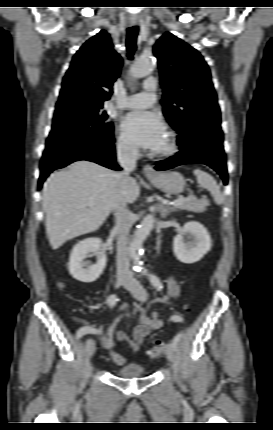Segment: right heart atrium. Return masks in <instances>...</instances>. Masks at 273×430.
<instances>
[{
	"label": "right heart atrium",
	"instance_id": "right-heart-atrium-1",
	"mask_svg": "<svg viewBox=\"0 0 273 430\" xmlns=\"http://www.w3.org/2000/svg\"><path fill=\"white\" fill-rule=\"evenodd\" d=\"M116 147L119 154L132 157L136 154V147L131 144L122 134L117 137Z\"/></svg>",
	"mask_w": 273,
	"mask_h": 430
}]
</instances>
